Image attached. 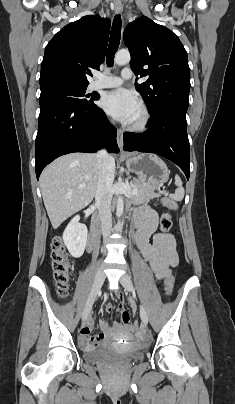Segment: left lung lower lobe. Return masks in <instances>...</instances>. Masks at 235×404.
Listing matches in <instances>:
<instances>
[{"mask_svg": "<svg viewBox=\"0 0 235 404\" xmlns=\"http://www.w3.org/2000/svg\"><path fill=\"white\" fill-rule=\"evenodd\" d=\"M124 150L156 153L190 174V145L187 136L186 112L165 110L152 115L148 131L124 133Z\"/></svg>", "mask_w": 235, "mask_h": 404, "instance_id": "0a47b994", "label": "left lung lower lobe"}]
</instances>
